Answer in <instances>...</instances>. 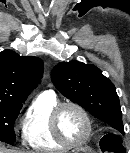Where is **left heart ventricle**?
I'll return each instance as SVG.
<instances>
[{
  "instance_id": "1",
  "label": "left heart ventricle",
  "mask_w": 130,
  "mask_h": 153,
  "mask_svg": "<svg viewBox=\"0 0 130 153\" xmlns=\"http://www.w3.org/2000/svg\"><path fill=\"white\" fill-rule=\"evenodd\" d=\"M59 126L64 137L74 143L83 140L87 124L82 114L75 108H65L60 114Z\"/></svg>"
}]
</instances>
